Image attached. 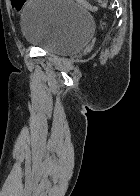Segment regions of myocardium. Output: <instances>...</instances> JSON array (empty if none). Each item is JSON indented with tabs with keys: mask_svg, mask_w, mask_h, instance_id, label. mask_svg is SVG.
Here are the masks:
<instances>
[{
	"mask_svg": "<svg viewBox=\"0 0 140 196\" xmlns=\"http://www.w3.org/2000/svg\"><path fill=\"white\" fill-rule=\"evenodd\" d=\"M35 192H45V191H35ZM56 192H66V191H56Z\"/></svg>",
	"mask_w": 140,
	"mask_h": 196,
	"instance_id": "myocardium-1",
	"label": "myocardium"
}]
</instances>
